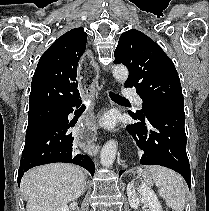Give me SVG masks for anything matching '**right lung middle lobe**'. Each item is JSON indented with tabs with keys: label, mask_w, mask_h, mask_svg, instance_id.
I'll return each instance as SVG.
<instances>
[{
	"label": "right lung middle lobe",
	"mask_w": 209,
	"mask_h": 211,
	"mask_svg": "<svg viewBox=\"0 0 209 211\" xmlns=\"http://www.w3.org/2000/svg\"><path fill=\"white\" fill-rule=\"evenodd\" d=\"M60 108H48L34 112H28V126L26 130V141L31 139L45 125L52 121L59 113Z\"/></svg>",
	"instance_id": "right-lung-middle-lobe-1"
}]
</instances>
